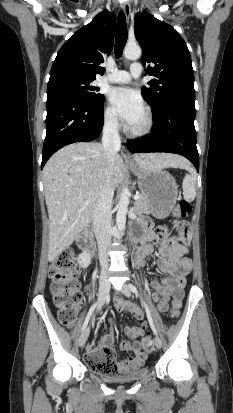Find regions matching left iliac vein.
I'll return each mask as SVG.
<instances>
[{
  "mask_svg": "<svg viewBox=\"0 0 233 413\" xmlns=\"http://www.w3.org/2000/svg\"><path fill=\"white\" fill-rule=\"evenodd\" d=\"M121 291L125 296H127V297L131 296V291H130V288L127 284H124L122 286ZM155 346H156L157 349H161V347H162V340L159 336L155 337Z\"/></svg>",
  "mask_w": 233,
  "mask_h": 413,
  "instance_id": "4c4485c4",
  "label": "left iliac vein"
}]
</instances>
